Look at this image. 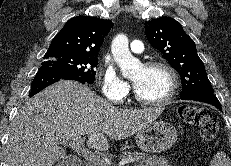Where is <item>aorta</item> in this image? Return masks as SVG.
Segmentation results:
<instances>
[{"label": "aorta", "mask_w": 231, "mask_h": 166, "mask_svg": "<svg viewBox=\"0 0 231 166\" xmlns=\"http://www.w3.org/2000/svg\"><path fill=\"white\" fill-rule=\"evenodd\" d=\"M111 51L124 77H130L141 68V62L129 51L126 35L119 34L113 39Z\"/></svg>", "instance_id": "aorta-1"}]
</instances>
